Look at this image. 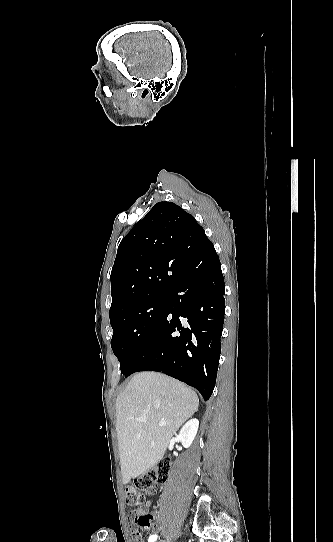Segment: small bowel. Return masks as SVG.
<instances>
[{
  "label": "small bowel",
  "instance_id": "c3829d8e",
  "mask_svg": "<svg viewBox=\"0 0 333 542\" xmlns=\"http://www.w3.org/2000/svg\"><path fill=\"white\" fill-rule=\"evenodd\" d=\"M145 506L150 507L151 506V501L150 500L145 501ZM141 526L143 528H145V529H148L150 527V524L148 522H145ZM160 528H161L160 526H157L156 530H160ZM156 530L153 532L155 535L158 533Z\"/></svg>",
  "mask_w": 333,
  "mask_h": 542
}]
</instances>
